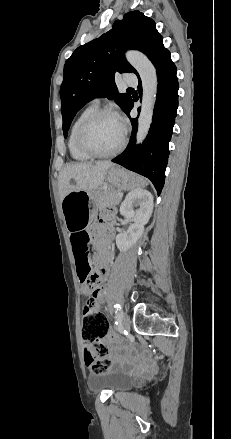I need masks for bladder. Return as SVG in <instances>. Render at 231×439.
<instances>
[{"label": "bladder", "mask_w": 231, "mask_h": 439, "mask_svg": "<svg viewBox=\"0 0 231 439\" xmlns=\"http://www.w3.org/2000/svg\"><path fill=\"white\" fill-rule=\"evenodd\" d=\"M89 381L94 389H107L113 393L131 388L136 383L131 375L115 370L94 373L90 375Z\"/></svg>", "instance_id": "31cf9c89"}]
</instances>
